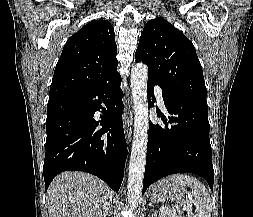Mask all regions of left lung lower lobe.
Here are the masks:
<instances>
[{
  "label": "left lung lower lobe",
  "instance_id": "1",
  "mask_svg": "<svg viewBox=\"0 0 253 217\" xmlns=\"http://www.w3.org/2000/svg\"><path fill=\"white\" fill-rule=\"evenodd\" d=\"M154 85L148 80V99L154 94ZM162 96L171 116L159 115L166 126L150 123L142 193L167 175L185 172L203 177L213 190L208 106L164 92ZM148 105L154 106L151 101Z\"/></svg>",
  "mask_w": 253,
  "mask_h": 217
}]
</instances>
